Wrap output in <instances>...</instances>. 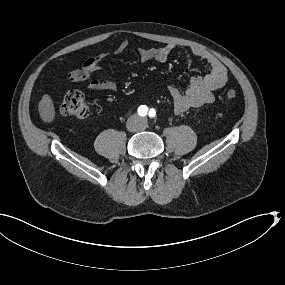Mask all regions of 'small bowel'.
<instances>
[{
    "label": "small bowel",
    "instance_id": "obj_1",
    "mask_svg": "<svg viewBox=\"0 0 285 285\" xmlns=\"http://www.w3.org/2000/svg\"><path fill=\"white\" fill-rule=\"evenodd\" d=\"M128 41H122L116 48L115 53L121 54L128 48ZM173 45H165L156 48H138L137 53L141 61L166 62L173 52ZM191 53L197 58L203 60L209 72L204 76H193L189 81L188 87L182 91L175 87H169L168 92L173 100L174 110L177 114L184 113L192 108L201 107L214 101V92L224 87L228 79L226 67L208 51L193 47ZM106 54L89 58L83 67L86 77L100 69ZM89 88L95 91L114 92L117 85L111 80H92L88 84Z\"/></svg>",
    "mask_w": 285,
    "mask_h": 285
}]
</instances>
